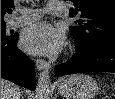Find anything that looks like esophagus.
I'll use <instances>...</instances> for the list:
<instances>
[{
  "instance_id": "1",
  "label": "esophagus",
  "mask_w": 115,
  "mask_h": 99,
  "mask_svg": "<svg viewBox=\"0 0 115 99\" xmlns=\"http://www.w3.org/2000/svg\"><path fill=\"white\" fill-rule=\"evenodd\" d=\"M35 64H36V67L39 71L49 69V64L42 59H36Z\"/></svg>"
}]
</instances>
